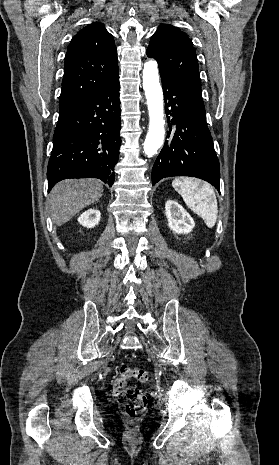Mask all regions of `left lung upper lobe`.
Listing matches in <instances>:
<instances>
[{
    "mask_svg": "<svg viewBox=\"0 0 279 465\" xmlns=\"http://www.w3.org/2000/svg\"><path fill=\"white\" fill-rule=\"evenodd\" d=\"M146 53L157 60L162 77L204 105L195 48L184 32L172 25L159 26Z\"/></svg>",
    "mask_w": 279,
    "mask_h": 465,
    "instance_id": "1",
    "label": "left lung upper lobe"
}]
</instances>
